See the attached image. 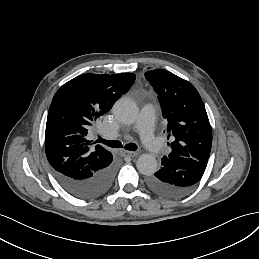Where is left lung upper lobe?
<instances>
[{
    "label": "left lung upper lobe",
    "instance_id": "obj_1",
    "mask_svg": "<svg viewBox=\"0 0 259 259\" xmlns=\"http://www.w3.org/2000/svg\"><path fill=\"white\" fill-rule=\"evenodd\" d=\"M158 94L168 138L172 136L168 157H187L208 162L212 129L204 103L196 88L175 74L156 69L145 73Z\"/></svg>",
    "mask_w": 259,
    "mask_h": 259
}]
</instances>
